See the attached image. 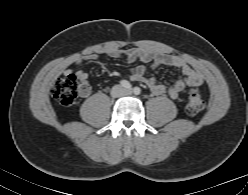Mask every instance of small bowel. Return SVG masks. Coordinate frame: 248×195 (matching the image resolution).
<instances>
[{
  "label": "small bowel",
  "instance_id": "small-bowel-1",
  "mask_svg": "<svg viewBox=\"0 0 248 195\" xmlns=\"http://www.w3.org/2000/svg\"><path fill=\"white\" fill-rule=\"evenodd\" d=\"M139 55V51L136 49H130L125 53H121L117 50H110L108 51V56L112 58H119L124 56L128 61H133ZM154 57L153 64L151 65L152 68L158 65H165L170 67L178 68L182 76L178 77L171 86H166L164 84L158 83L153 77L146 76L148 68L146 66H137L131 69V76L132 79L135 81L144 82L150 91L157 96H161L165 93L172 99H178L182 94H184L187 89L198 87L203 83L202 75L186 64L180 57L171 55V54H161L158 56L150 55ZM88 61H97L99 59L98 54H90L85 58ZM83 59H77L75 61L76 64L82 63ZM72 70L67 69L66 73H70ZM76 75L78 78L84 82L86 85L85 90L82 92L83 96H86L90 88L86 84L88 79V74L84 70L76 71Z\"/></svg>",
  "mask_w": 248,
  "mask_h": 195
}]
</instances>
